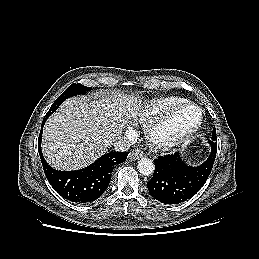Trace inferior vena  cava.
Listing matches in <instances>:
<instances>
[{
	"label": "inferior vena cava",
	"instance_id": "1",
	"mask_svg": "<svg viewBox=\"0 0 259 259\" xmlns=\"http://www.w3.org/2000/svg\"><path fill=\"white\" fill-rule=\"evenodd\" d=\"M112 145L116 151L120 152L127 151L131 146L129 140L126 137L117 138L116 140H114Z\"/></svg>",
	"mask_w": 259,
	"mask_h": 259
}]
</instances>
